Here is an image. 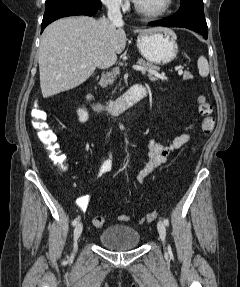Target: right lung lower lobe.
<instances>
[{
	"label": "right lung lower lobe",
	"mask_w": 240,
	"mask_h": 287,
	"mask_svg": "<svg viewBox=\"0 0 240 287\" xmlns=\"http://www.w3.org/2000/svg\"><path fill=\"white\" fill-rule=\"evenodd\" d=\"M100 8V0H46L41 32L59 18L74 15L92 16Z\"/></svg>",
	"instance_id": "98d812e1"
}]
</instances>
